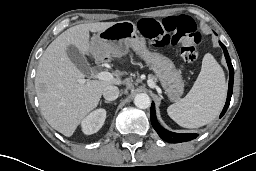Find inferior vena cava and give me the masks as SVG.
<instances>
[{
  "instance_id": "602c4592",
  "label": "inferior vena cava",
  "mask_w": 256,
  "mask_h": 171,
  "mask_svg": "<svg viewBox=\"0 0 256 171\" xmlns=\"http://www.w3.org/2000/svg\"><path fill=\"white\" fill-rule=\"evenodd\" d=\"M119 96V89L116 86L109 85L103 90V97L108 101L116 100Z\"/></svg>"
}]
</instances>
